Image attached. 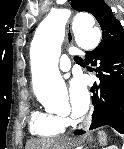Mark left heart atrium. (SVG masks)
Returning a JSON list of instances; mask_svg holds the SVG:
<instances>
[{"instance_id":"39dd6f15","label":"left heart atrium","mask_w":124,"mask_h":149,"mask_svg":"<svg viewBox=\"0 0 124 149\" xmlns=\"http://www.w3.org/2000/svg\"><path fill=\"white\" fill-rule=\"evenodd\" d=\"M70 105L73 117H80L86 113L90 103V96L86 82L82 77L72 79L69 88Z\"/></svg>"}]
</instances>
